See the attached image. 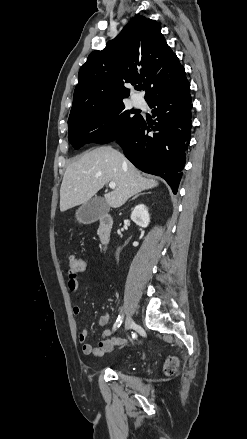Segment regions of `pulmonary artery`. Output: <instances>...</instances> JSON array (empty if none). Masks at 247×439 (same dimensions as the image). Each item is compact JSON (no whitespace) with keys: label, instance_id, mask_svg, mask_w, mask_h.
<instances>
[{"label":"pulmonary artery","instance_id":"e3ab8cb5","mask_svg":"<svg viewBox=\"0 0 247 439\" xmlns=\"http://www.w3.org/2000/svg\"><path fill=\"white\" fill-rule=\"evenodd\" d=\"M134 103H135V105H140V104H141V101L138 100V99H135V100H134Z\"/></svg>","mask_w":247,"mask_h":439}]
</instances>
